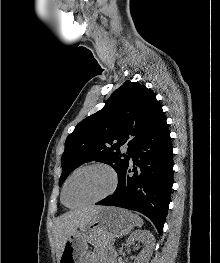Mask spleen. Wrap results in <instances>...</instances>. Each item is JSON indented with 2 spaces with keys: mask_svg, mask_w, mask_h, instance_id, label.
I'll return each mask as SVG.
<instances>
[{
  "mask_svg": "<svg viewBox=\"0 0 220 263\" xmlns=\"http://www.w3.org/2000/svg\"><path fill=\"white\" fill-rule=\"evenodd\" d=\"M135 224L137 227H142L143 220L136 214H134Z\"/></svg>",
  "mask_w": 220,
  "mask_h": 263,
  "instance_id": "3e777b00",
  "label": "spleen"
}]
</instances>
